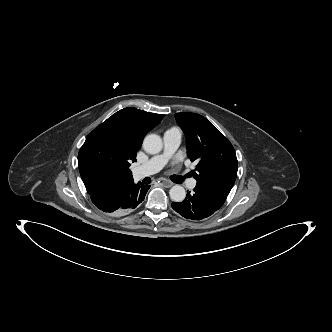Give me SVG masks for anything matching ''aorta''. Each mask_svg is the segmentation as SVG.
<instances>
[{
	"instance_id": "762f6f07",
	"label": "aorta",
	"mask_w": 332,
	"mask_h": 332,
	"mask_svg": "<svg viewBox=\"0 0 332 332\" xmlns=\"http://www.w3.org/2000/svg\"><path fill=\"white\" fill-rule=\"evenodd\" d=\"M143 148L149 154H157L163 148V142L159 135L149 134L144 138ZM170 197L174 202H182L186 197L185 189L180 185H175L170 189Z\"/></svg>"
}]
</instances>
